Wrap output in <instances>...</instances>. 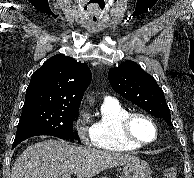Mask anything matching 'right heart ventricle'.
Here are the masks:
<instances>
[{
    "label": "right heart ventricle",
    "instance_id": "obj_1",
    "mask_svg": "<svg viewBox=\"0 0 194 178\" xmlns=\"http://www.w3.org/2000/svg\"><path fill=\"white\" fill-rule=\"evenodd\" d=\"M129 113L118 101L107 99L101 105L100 116L92 125L93 145L111 151H133L139 146L125 141L120 134V120Z\"/></svg>",
    "mask_w": 194,
    "mask_h": 178
}]
</instances>
